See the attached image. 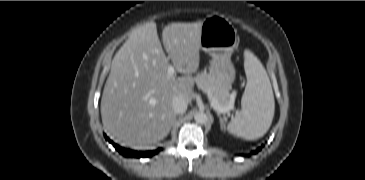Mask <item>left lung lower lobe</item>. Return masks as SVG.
Segmentation results:
<instances>
[{
	"label": "left lung lower lobe",
	"mask_w": 365,
	"mask_h": 180,
	"mask_svg": "<svg viewBox=\"0 0 365 180\" xmlns=\"http://www.w3.org/2000/svg\"><path fill=\"white\" fill-rule=\"evenodd\" d=\"M259 150H261V148H258V150L257 151H254L253 153H257Z\"/></svg>",
	"instance_id": "0a47b994"
}]
</instances>
